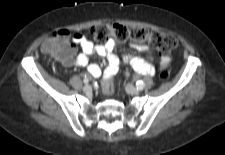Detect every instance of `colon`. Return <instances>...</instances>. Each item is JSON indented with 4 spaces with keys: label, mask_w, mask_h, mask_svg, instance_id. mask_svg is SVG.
Wrapping results in <instances>:
<instances>
[{
    "label": "colon",
    "mask_w": 225,
    "mask_h": 155,
    "mask_svg": "<svg viewBox=\"0 0 225 155\" xmlns=\"http://www.w3.org/2000/svg\"><path fill=\"white\" fill-rule=\"evenodd\" d=\"M71 34L67 30H59L52 33L44 40L42 44L43 51L50 56L67 61L74 52V47L71 43ZM91 34L99 42L112 40L117 44H124L128 41L148 43L162 54L169 53L177 46V40L172 35L144 28L129 29L121 24H99L92 27ZM122 60L123 55L121 53H115L113 60L110 62L118 66V63ZM173 70L174 67L171 63H164L160 70V77L162 79L167 78ZM102 87L104 88L103 94L105 96L112 94V82L110 80H104Z\"/></svg>",
    "instance_id": "colon-1"
}]
</instances>
